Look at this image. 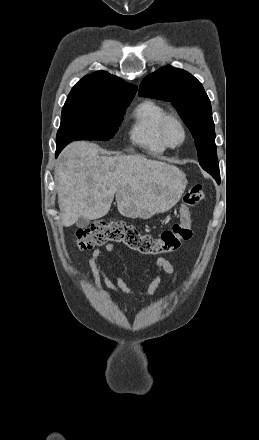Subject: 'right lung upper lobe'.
<instances>
[{
    "mask_svg": "<svg viewBox=\"0 0 259 440\" xmlns=\"http://www.w3.org/2000/svg\"><path fill=\"white\" fill-rule=\"evenodd\" d=\"M137 86L127 84L107 72L99 71L85 76L71 90L67 101L108 106L133 98Z\"/></svg>",
    "mask_w": 259,
    "mask_h": 440,
    "instance_id": "1",
    "label": "right lung upper lobe"
}]
</instances>
